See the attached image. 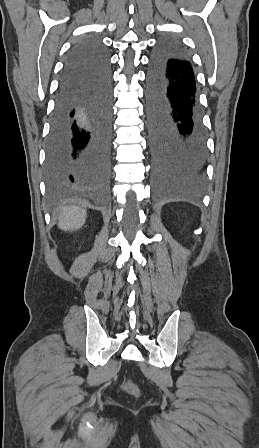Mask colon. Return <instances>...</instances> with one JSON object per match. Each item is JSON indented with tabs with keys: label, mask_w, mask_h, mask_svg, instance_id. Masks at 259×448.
<instances>
[{
	"label": "colon",
	"mask_w": 259,
	"mask_h": 448,
	"mask_svg": "<svg viewBox=\"0 0 259 448\" xmlns=\"http://www.w3.org/2000/svg\"><path fill=\"white\" fill-rule=\"evenodd\" d=\"M125 389L129 392V393H131L132 395H137L138 394V389H137V387L134 385V384H132V383H127L126 385H125Z\"/></svg>",
	"instance_id": "obj_1"
}]
</instances>
